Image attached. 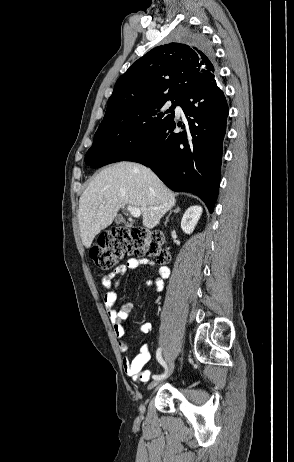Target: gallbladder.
Masks as SVG:
<instances>
[{"mask_svg":"<svg viewBox=\"0 0 294 462\" xmlns=\"http://www.w3.org/2000/svg\"><path fill=\"white\" fill-rule=\"evenodd\" d=\"M123 222H124V219H123L122 216H118V217L116 218V223H117V224H121V223H123Z\"/></svg>","mask_w":294,"mask_h":462,"instance_id":"1","label":"gallbladder"}]
</instances>
